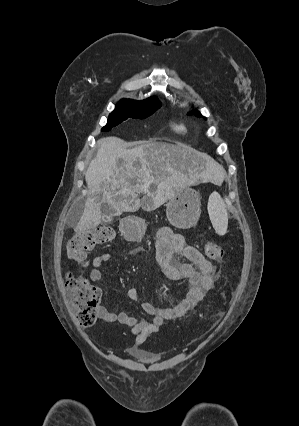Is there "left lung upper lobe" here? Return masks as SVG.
I'll return each instance as SVG.
<instances>
[{"mask_svg":"<svg viewBox=\"0 0 299 426\" xmlns=\"http://www.w3.org/2000/svg\"><path fill=\"white\" fill-rule=\"evenodd\" d=\"M190 114H195L197 116H202L197 110L190 112Z\"/></svg>","mask_w":299,"mask_h":426,"instance_id":"5c2ea615","label":"left lung upper lobe"}]
</instances>
